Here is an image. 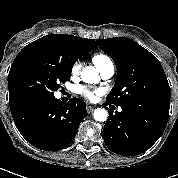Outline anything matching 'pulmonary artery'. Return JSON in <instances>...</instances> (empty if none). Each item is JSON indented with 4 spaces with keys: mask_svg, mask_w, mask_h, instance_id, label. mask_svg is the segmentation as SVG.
<instances>
[{
    "mask_svg": "<svg viewBox=\"0 0 178 178\" xmlns=\"http://www.w3.org/2000/svg\"><path fill=\"white\" fill-rule=\"evenodd\" d=\"M99 71H100L101 77L104 80H108L112 78V76L115 73V65L113 64V62H110L106 64L103 68H101Z\"/></svg>",
    "mask_w": 178,
    "mask_h": 178,
    "instance_id": "obj_1",
    "label": "pulmonary artery"
}]
</instances>
